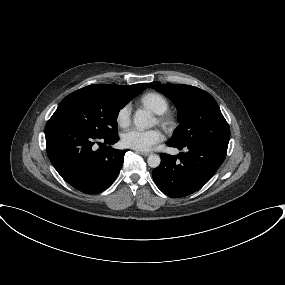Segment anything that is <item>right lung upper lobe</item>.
<instances>
[{"instance_id": "cb5924a9", "label": "right lung upper lobe", "mask_w": 285, "mask_h": 285, "mask_svg": "<svg viewBox=\"0 0 285 285\" xmlns=\"http://www.w3.org/2000/svg\"><path fill=\"white\" fill-rule=\"evenodd\" d=\"M148 86H149L148 83H141V84H135V85H130V86H120V85H115V84H97V85H90L87 87L106 90V91L119 94V95H123V96L129 97L132 99L135 97V94H137L141 90L143 91Z\"/></svg>"}]
</instances>
